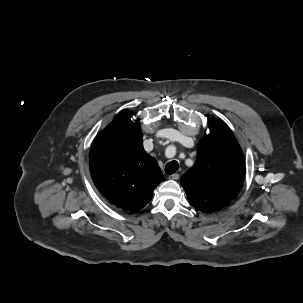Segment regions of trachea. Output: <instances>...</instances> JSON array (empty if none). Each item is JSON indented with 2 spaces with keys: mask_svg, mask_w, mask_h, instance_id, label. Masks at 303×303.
Masks as SVG:
<instances>
[{
  "mask_svg": "<svg viewBox=\"0 0 303 303\" xmlns=\"http://www.w3.org/2000/svg\"><path fill=\"white\" fill-rule=\"evenodd\" d=\"M178 167H179L178 162L173 160V161L166 164L165 172L167 174H174L177 171Z\"/></svg>",
  "mask_w": 303,
  "mask_h": 303,
  "instance_id": "3493384b",
  "label": "trachea"
}]
</instances>
